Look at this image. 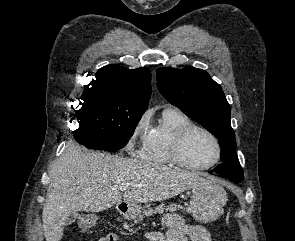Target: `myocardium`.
Listing matches in <instances>:
<instances>
[{
    "label": "myocardium",
    "instance_id": "myocardium-1",
    "mask_svg": "<svg viewBox=\"0 0 295 241\" xmlns=\"http://www.w3.org/2000/svg\"><path fill=\"white\" fill-rule=\"evenodd\" d=\"M194 130H200L204 133H206L215 143L216 146V157L215 159L204 166H198V165H192L190 163H188L182 154V148H183V144L186 140V138L188 137V135L194 131ZM170 155L174 161V163H176L177 165H179L182 168L191 170V171H204V170H208L212 167H214L221 159L222 156V146L220 143V140L218 139V137L207 127L202 126V125H198V124H189L185 127H183L181 130H179L177 132V134L175 135V137L173 138L171 145H170Z\"/></svg>",
    "mask_w": 295,
    "mask_h": 241
}]
</instances>
